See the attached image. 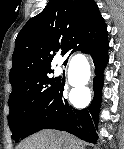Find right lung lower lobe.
<instances>
[{
	"mask_svg": "<svg viewBox=\"0 0 124 149\" xmlns=\"http://www.w3.org/2000/svg\"><path fill=\"white\" fill-rule=\"evenodd\" d=\"M108 39L97 47L89 50L95 65L93 81L94 98L91 105L83 110H77L69 105L63 95L64 85L59 83L48 100L37 110L25 127L21 139L42 129H57L66 131L90 143H96L97 122L99 118L103 71L108 62Z\"/></svg>",
	"mask_w": 124,
	"mask_h": 149,
	"instance_id": "98d812e1",
	"label": "right lung lower lobe"
}]
</instances>
